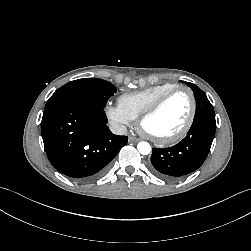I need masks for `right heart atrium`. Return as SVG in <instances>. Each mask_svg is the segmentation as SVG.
<instances>
[{
    "instance_id": "right-heart-atrium-1",
    "label": "right heart atrium",
    "mask_w": 251,
    "mask_h": 251,
    "mask_svg": "<svg viewBox=\"0 0 251 251\" xmlns=\"http://www.w3.org/2000/svg\"><path fill=\"white\" fill-rule=\"evenodd\" d=\"M105 114L110 123L117 129L123 130L128 127L132 119L122 110L119 105L107 104Z\"/></svg>"
}]
</instances>
